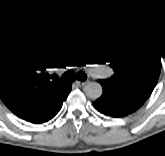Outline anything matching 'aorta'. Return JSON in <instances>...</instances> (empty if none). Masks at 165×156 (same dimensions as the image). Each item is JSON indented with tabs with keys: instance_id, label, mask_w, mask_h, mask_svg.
<instances>
[{
	"instance_id": "aorta-1",
	"label": "aorta",
	"mask_w": 165,
	"mask_h": 156,
	"mask_svg": "<svg viewBox=\"0 0 165 156\" xmlns=\"http://www.w3.org/2000/svg\"><path fill=\"white\" fill-rule=\"evenodd\" d=\"M85 95L90 99H98L103 92L102 86L98 82H89L84 88Z\"/></svg>"
}]
</instances>
